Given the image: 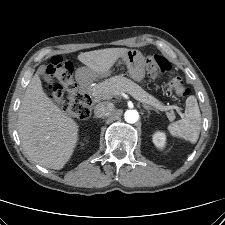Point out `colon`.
I'll return each mask as SVG.
<instances>
[{"label":"colon","mask_w":225,"mask_h":225,"mask_svg":"<svg viewBox=\"0 0 225 225\" xmlns=\"http://www.w3.org/2000/svg\"><path fill=\"white\" fill-rule=\"evenodd\" d=\"M147 70L153 75L171 73L172 66L163 56L151 54L146 60ZM72 63L63 57L52 58L48 65V73L56 79V83L49 88L50 98L59 105L64 112L79 119H86L90 115L91 104L79 89L72 76ZM166 91L169 95L187 96L189 89L180 76H173Z\"/></svg>","instance_id":"5ec220e1"}]
</instances>
